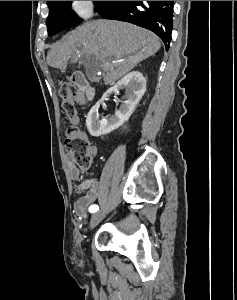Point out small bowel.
Returning <instances> with one entry per match:
<instances>
[{
    "instance_id": "1",
    "label": "small bowel",
    "mask_w": 237,
    "mask_h": 300,
    "mask_svg": "<svg viewBox=\"0 0 237 300\" xmlns=\"http://www.w3.org/2000/svg\"><path fill=\"white\" fill-rule=\"evenodd\" d=\"M76 97L80 101L83 100L80 94H77ZM70 123L75 126L78 125L79 118L76 116L70 119ZM89 154L91 158H95L97 156V148L94 146L90 147ZM67 167L70 178L79 182L78 190L85 191V194L74 204V214L80 219H84L88 216L89 208L95 205V201L100 197L105 188L115 189L118 187V181L116 179H109L106 175L100 179L86 178L82 180L80 170L71 159L67 160Z\"/></svg>"
}]
</instances>
